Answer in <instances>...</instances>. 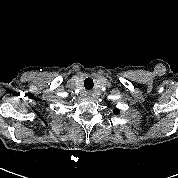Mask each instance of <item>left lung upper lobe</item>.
<instances>
[{
	"instance_id": "5c2ea615",
	"label": "left lung upper lobe",
	"mask_w": 178,
	"mask_h": 178,
	"mask_svg": "<svg viewBox=\"0 0 178 178\" xmlns=\"http://www.w3.org/2000/svg\"><path fill=\"white\" fill-rule=\"evenodd\" d=\"M114 112H115V113H119V110L117 109V110H115Z\"/></svg>"
}]
</instances>
